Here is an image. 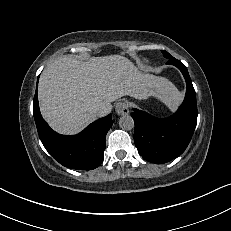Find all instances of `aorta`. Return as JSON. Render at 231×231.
Listing matches in <instances>:
<instances>
[{
  "label": "aorta",
  "instance_id": "aorta-1",
  "mask_svg": "<svg viewBox=\"0 0 231 231\" xmlns=\"http://www.w3.org/2000/svg\"><path fill=\"white\" fill-rule=\"evenodd\" d=\"M119 126L123 130H131L134 128V120L130 115H124L119 120Z\"/></svg>",
  "mask_w": 231,
  "mask_h": 231
}]
</instances>
